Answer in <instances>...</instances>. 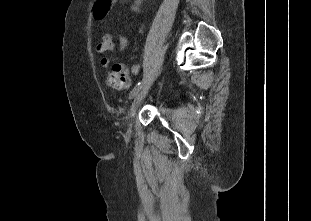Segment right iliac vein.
Instances as JSON below:
<instances>
[{
	"instance_id": "obj_1",
	"label": "right iliac vein",
	"mask_w": 311,
	"mask_h": 221,
	"mask_svg": "<svg viewBox=\"0 0 311 221\" xmlns=\"http://www.w3.org/2000/svg\"><path fill=\"white\" fill-rule=\"evenodd\" d=\"M146 90H147V86H144L142 89H140L137 92V94L135 95L134 100L132 101V104H131L130 109H129V118H130L129 128L130 129L132 128L133 118L136 114V111L138 109L140 102L142 101V99L145 95Z\"/></svg>"
}]
</instances>
